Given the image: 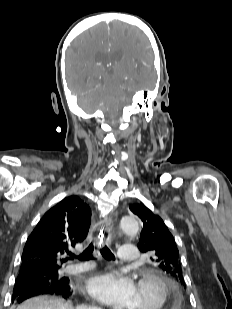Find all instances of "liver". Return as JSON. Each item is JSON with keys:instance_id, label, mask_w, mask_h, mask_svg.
Instances as JSON below:
<instances>
[{"instance_id": "1", "label": "liver", "mask_w": 232, "mask_h": 309, "mask_svg": "<svg viewBox=\"0 0 232 309\" xmlns=\"http://www.w3.org/2000/svg\"><path fill=\"white\" fill-rule=\"evenodd\" d=\"M17 309H74L72 304L57 297L39 296L26 300Z\"/></svg>"}]
</instances>
